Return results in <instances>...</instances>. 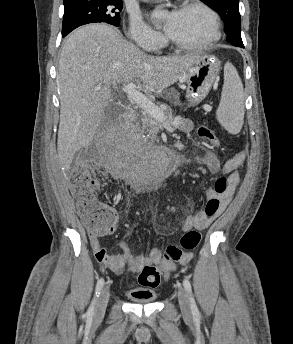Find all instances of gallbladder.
I'll return each mask as SVG.
<instances>
[{"label": "gallbladder", "mask_w": 293, "mask_h": 344, "mask_svg": "<svg viewBox=\"0 0 293 344\" xmlns=\"http://www.w3.org/2000/svg\"><path fill=\"white\" fill-rule=\"evenodd\" d=\"M114 106H115L114 103H111L109 106H107V107L105 108V110H104V114H105L106 116H108L109 113H110V111H111V109H112Z\"/></svg>", "instance_id": "obj_1"}]
</instances>
